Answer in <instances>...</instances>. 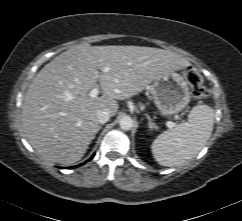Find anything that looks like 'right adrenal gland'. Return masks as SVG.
Returning a JSON list of instances; mask_svg holds the SVG:
<instances>
[{
    "mask_svg": "<svg viewBox=\"0 0 242 221\" xmlns=\"http://www.w3.org/2000/svg\"><path fill=\"white\" fill-rule=\"evenodd\" d=\"M101 128H102V126H99V127H98V131H99Z\"/></svg>",
    "mask_w": 242,
    "mask_h": 221,
    "instance_id": "1",
    "label": "right adrenal gland"
}]
</instances>
